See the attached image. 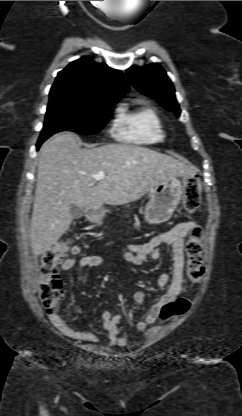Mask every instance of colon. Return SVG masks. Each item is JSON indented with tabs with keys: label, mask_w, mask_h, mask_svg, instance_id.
<instances>
[{
	"label": "colon",
	"mask_w": 242,
	"mask_h": 416,
	"mask_svg": "<svg viewBox=\"0 0 242 416\" xmlns=\"http://www.w3.org/2000/svg\"><path fill=\"white\" fill-rule=\"evenodd\" d=\"M201 181L199 177L192 176L184 184V208L187 213H195L201 202ZM203 230L194 226L186 243L187 273L192 283H199L204 274L203 267ZM66 241L58 242L48 248L40 261L41 281L39 284V297L41 303L50 315H57L61 300L64 296L63 282L58 270L59 264L70 252H76ZM191 307L187 298L176 299L165 304L161 311L162 320L184 315Z\"/></svg>",
	"instance_id": "colon-1"
}]
</instances>
